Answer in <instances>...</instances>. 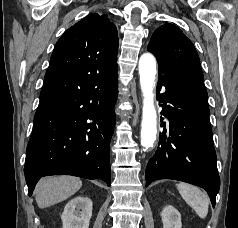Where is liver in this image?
Returning <instances> with one entry per match:
<instances>
[{
    "label": "liver",
    "instance_id": "1",
    "mask_svg": "<svg viewBox=\"0 0 238 228\" xmlns=\"http://www.w3.org/2000/svg\"><path fill=\"white\" fill-rule=\"evenodd\" d=\"M82 187L81 179L72 176H54L41 179L35 189L36 202L43 209L66 200Z\"/></svg>",
    "mask_w": 238,
    "mask_h": 228
}]
</instances>
